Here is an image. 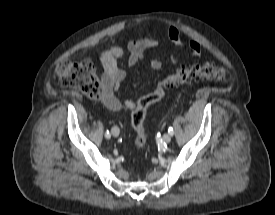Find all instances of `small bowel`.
Returning a JSON list of instances; mask_svg holds the SVG:
<instances>
[{
    "label": "small bowel",
    "instance_id": "1",
    "mask_svg": "<svg viewBox=\"0 0 275 215\" xmlns=\"http://www.w3.org/2000/svg\"><path fill=\"white\" fill-rule=\"evenodd\" d=\"M171 43L176 48L183 46L182 38L175 27H171L168 32ZM157 46L156 40L152 34H148L142 38L130 39L127 43L129 55L126 57L124 50L118 45H111L100 55V61L103 68L102 85H103V103L112 111H119L122 103L115 95L122 83L124 82L127 69L135 67L139 62L143 61L147 50ZM188 47L191 56H200L203 52L202 46L194 40L188 41ZM171 61L174 64L179 63V59L175 54L171 55ZM150 67L153 71H159L162 63L157 58L150 60ZM126 108L132 110L136 107V103L127 99L124 102Z\"/></svg>",
    "mask_w": 275,
    "mask_h": 215
}]
</instances>
